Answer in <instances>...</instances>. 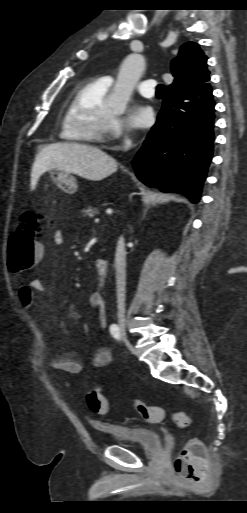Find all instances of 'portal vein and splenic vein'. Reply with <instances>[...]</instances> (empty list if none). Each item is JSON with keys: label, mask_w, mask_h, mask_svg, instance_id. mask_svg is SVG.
<instances>
[{"label": "portal vein and splenic vein", "mask_w": 247, "mask_h": 513, "mask_svg": "<svg viewBox=\"0 0 247 513\" xmlns=\"http://www.w3.org/2000/svg\"><path fill=\"white\" fill-rule=\"evenodd\" d=\"M95 222H99V219H98V218H96V219H95Z\"/></svg>", "instance_id": "portal-vein-and-splenic-vein-1"}]
</instances>
